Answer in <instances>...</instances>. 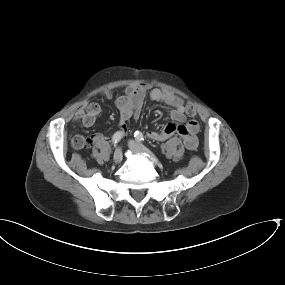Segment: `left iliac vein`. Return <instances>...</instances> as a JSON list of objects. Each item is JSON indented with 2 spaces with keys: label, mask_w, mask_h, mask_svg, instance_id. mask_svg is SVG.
I'll list each match as a JSON object with an SVG mask.
<instances>
[{
  "label": "left iliac vein",
  "mask_w": 285,
  "mask_h": 285,
  "mask_svg": "<svg viewBox=\"0 0 285 285\" xmlns=\"http://www.w3.org/2000/svg\"><path fill=\"white\" fill-rule=\"evenodd\" d=\"M129 148L136 153H145L147 154L152 160H155L154 155L152 154V152L146 148L144 145L140 144L137 141L134 140H130L128 142Z\"/></svg>",
  "instance_id": "left-iliac-vein-1"
}]
</instances>
